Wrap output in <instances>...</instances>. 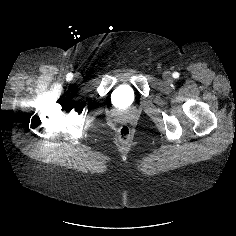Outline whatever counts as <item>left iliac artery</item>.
Returning a JSON list of instances; mask_svg holds the SVG:
<instances>
[{
  "label": "left iliac artery",
  "instance_id": "obj_1",
  "mask_svg": "<svg viewBox=\"0 0 236 236\" xmlns=\"http://www.w3.org/2000/svg\"><path fill=\"white\" fill-rule=\"evenodd\" d=\"M178 76H179V74H178V73H176V72H175V73H173V77H174V78H177Z\"/></svg>",
  "mask_w": 236,
  "mask_h": 236
}]
</instances>
